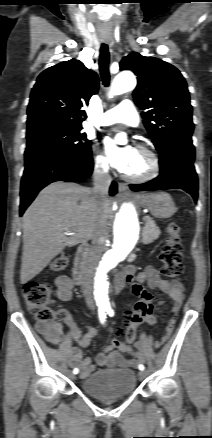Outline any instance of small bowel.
<instances>
[{"mask_svg":"<svg viewBox=\"0 0 212 438\" xmlns=\"http://www.w3.org/2000/svg\"><path fill=\"white\" fill-rule=\"evenodd\" d=\"M119 281H126L132 284V292L139 298L149 293L144 287L143 283H146L148 287L154 291L168 295L172 301V318L168 321L161 341H166L171 335L175 323L176 316L182 306L185 298L184 287L179 281H168L162 279L159 272L152 266H147L143 271L136 273L135 268L130 266L120 275ZM57 289V296L62 301H68L72 297V289L74 282L70 277L66 275L58 276L55 280ZM150 294V293H149ZM152 303H153V296ZM159 305L163 304V301L158 302ZM55 314L62 317L63 322L67 325L75 339L79 341L80 347H72L67 351L68 361L71 366H78L80 368V377H88L95 367L91 363L89 357H83L81 348H85L89 345L90 340L96 334V330L93 327L87 328V333L84 337H81L80 332L75 328L73 319L70 313L66 309H58ZM148 326H153L156 323V317L153 312L145 322ZM42 335L53 344L61 343V326L56 324H40L38 326ZM124 353H128L131 358L124 357ZM97 363L102 367H137L139 363L144 360L142 352L137 351L125 344L124 342L113 339L112 342L105 346L96 357Z\"/></svg>","mask_w":212,"mask_h":438,"instance_id":"1","label":"small bowel"}]
</instances>
